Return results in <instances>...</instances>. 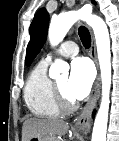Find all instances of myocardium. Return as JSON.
<instances>
[{"label":"myocardium","instance_id":"myocardium-1","mask_svg":"<svg viewBox=\"0 0 119 141\" xmlns=\"http://www.w3.org/2000/svg\"><path fill=\"white\" fill-rule=\"evenodd\" d=\"M53 98L60 112L70 113L76 109V103L63 95L56 82H53Z\"/></svg>","mask_w":119,"mask_h":141}]
</instances>
